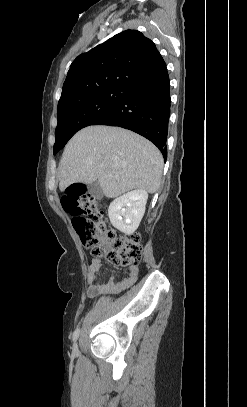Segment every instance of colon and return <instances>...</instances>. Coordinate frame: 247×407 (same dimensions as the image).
<instances>
[{
  "label": "colon",
  "mask_w": 247,
  "mask_h": 407,
  "mask_svg": "<svg viewBox=\"0 0 247 407\" xmlns=\"http://www.w3.org/2000/svg\"><path fill=\"white\" fill-rule=\"evenodd\" d=\"M63 209L72 218L73 227L83 246L95 255L118 267H133L140 263L142 246L140 234L117 236L107 230L104 209L85 186H70L61 199Z\"/></svg>",
  "instance_id": "1"
}]
</instances>
